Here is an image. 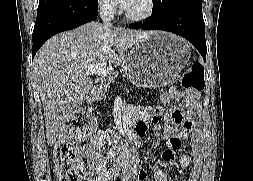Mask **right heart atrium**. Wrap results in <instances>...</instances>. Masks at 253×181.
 <instances>
[{
  "instance_id": "obj_1",
  "label": "right heart atrium",
  "mask_w": 253,
  "mask_h": 181,
  "mask_svg": "<svg viewBox=\"0 0 253 181\" xmlns=\"http://www.w3.org/2000/svg\"><path fill=\"white\" fill-rule=\"evenodd\" d=\"M100 12L107 16L113 17L117 13L116 0H97Z\"/></svg>"
}]
</instances>
